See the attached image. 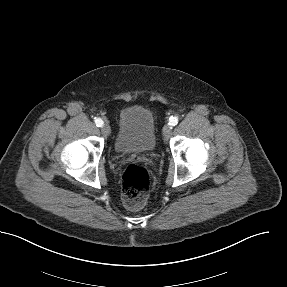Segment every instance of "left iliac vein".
<instances>
[{"label": "left iliac vein", "instance_id": "obj_1", "mask_svg": "<svg viewBox=\"0 0 287 287\" xmlns=\"http://www.w3.org/2000/svg\"><path fill=\"white\" fill-rule=\"evenodd\" d=\"M172 132V127L170 125H165L163 127L162 133L165 140H168Z\"/></svg>", "mask_w": 287, "mask_h": 287}]
</instances>
